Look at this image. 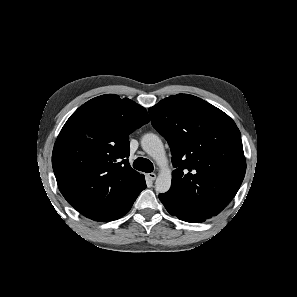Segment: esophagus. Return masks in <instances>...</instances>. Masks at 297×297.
Segmentation results:
<instances>
[{
	"instance_id": "esophagus-1",
	"label": "esophagus",
	"mask_w": 297,
	"mask_h": 297,
	"mask_svg": "<svg viewBox=\"0 0 297 297\" xmlns=\"http://www.w3.org/2000/svg\"><path fill=\"white\" fill-rule=\"evenodd\" d=\"M148 178L151 180V181H154L156 179V174L155 173H149L147 174Z\"/></svg>"
}]
</instances>
